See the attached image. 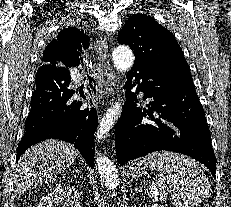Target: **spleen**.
Instances as JSON below:
<instances>
[{
  "instance_id": "spleen-1",
  "label": "spleen",
  "mask_w": 231,
  "mask_h": 207,
  "mask_svg": "<svg viewBox=\"0 0 231 207\" xmlns=\"http://www.w3.org/2000/svg\"><path fill=\"white\" fill-rule=\"evenodd\" d=\"M142 163L152 170H159L163 175L160 179L156 178L148 187V194L153 200L163 202L170 194V200L175 207H192L209 198L211 191L209 180L191 158L169 151H160L148 154Z\"/></svg>"
}]
</instances>
